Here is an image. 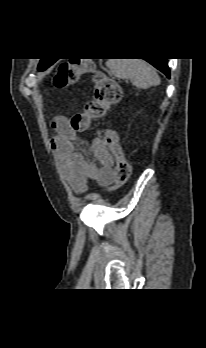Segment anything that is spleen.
<instances>
[{
  "label": "spleen",
  "instance_id": "1",
  "mask_svg": "<svg viewBox=\"0 0 206 348\" xmlns=\"http://www.w3.org/2000/svg\"><path fill=\"white\" fill-rule=\"evenodd\" d=\"M106 66L116 78L129 79L137 88L148 89L160 84L154 67L142 59H109Z\"/></svg>",
  "mask_w": 206,
  "mask_h": 348
}]
</instances>
